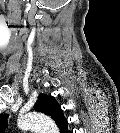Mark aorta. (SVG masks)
Listing matches in <instances>:
<instances>
[{
	"label": "aorta",
	"instance_id": "762f6f07",
	"mask_svg": "<svg viewBox=\"0 0 120 133\" xmlns=\"http://www.w3.org/2000/svg\"><path fill=\"white\" fill-rule=\"evenodd\" d=\"M18 124L21 128H33V129H44L47 130V125L51 124V121L47 116L42 113H29L22 116L18 120Z\"/></svg>",
	"mask_w": 120,
	"mask_h": 133
}]
</instances>
